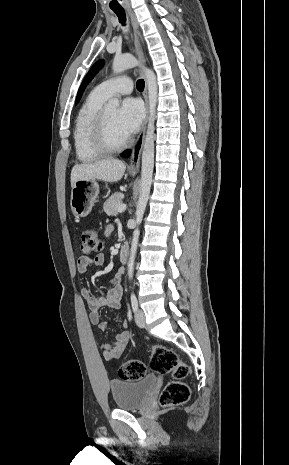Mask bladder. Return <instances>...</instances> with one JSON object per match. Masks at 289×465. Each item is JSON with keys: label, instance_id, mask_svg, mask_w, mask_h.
<instances>
[{"label": "bladder", "instance_id": "31cf9c89", "mask_svg": "<svg viewBox=\"0 0 289 465\" xmlns=\"http://www.w3.org/2000/svg\"><path fill=\"white\" fill-rule=\"evenodd\" d=\"M157 384V377L149 375L139 381L110 382V391L116 408L136 410L143 407Z\"/></svg>", "mask_w": 289, "mask_h": 465}]
</instances>
